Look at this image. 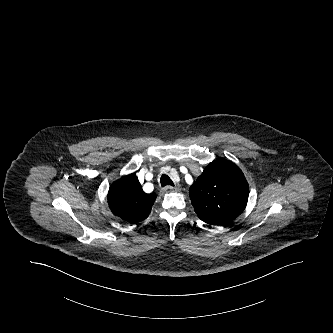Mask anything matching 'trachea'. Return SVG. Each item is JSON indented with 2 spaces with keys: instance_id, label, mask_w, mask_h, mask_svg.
Here are the masks:
<instances>
[{
  "instance_id": "3493384b",
  "label": "trachea",
  "mask_w": 333,
  "mask_h": 333,
  "mask_svg": "<svg viewBox=\"0 0 333 333\" xmlns=\"http://www.w3.org/2000/svg\"><path fill=\"white\" fill-rule=\"evenodd\" d=\"M161 186L165 187L167 185L174 186L173 181L170 179L168 175L163 174L160 178Z\"/></svg>"
}]
</instances>
